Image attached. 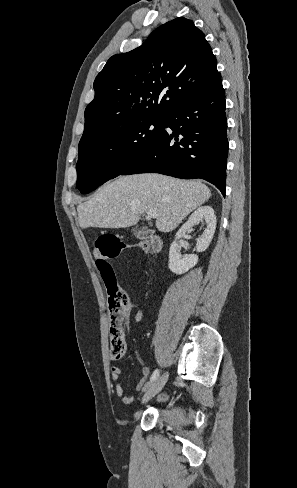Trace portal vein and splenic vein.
Here are the masks:
<instances>
[{
    "label": "portal vein and splenic vein",
    "instance_id": "portal-vein-and-splenic-vein-1",
    "mask_svg": "<svg viewBox=\"0 0 297 488\" xmlns=\"http://www.w3.org/2000/svg\"><path fill=\"white\" fill-rule=\"evenodd\" d=\"M147 215L151 218H156L158 216V212L156 209H150L147 211Z\"/></svg>",
    "mask_w": 297,
    "mask_h": 488
}]
</instances>
